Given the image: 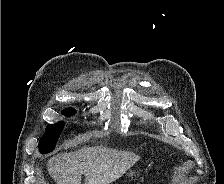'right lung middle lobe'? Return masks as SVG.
Masks as SVG:
<instances>
[{"label": "right lung middle lobe", "instance_id": "obj_1", "mask_svg": "<svg viewBox=\"0 0 224 184\" xmlns=\"http://www.w3.org/2000/svg\"><path fill=\"white\" fill-rule=\"evenodd\" d=\"M66 116L74 114V109L67 108L62 112ZM63 122H58L55 124H50L46 127V132L42 136L39 142V151L44 154L52 151L55 148V143L63 129Z\"/></svg>", "mask_w": 224, "mask_h": 184}]
</instances>
